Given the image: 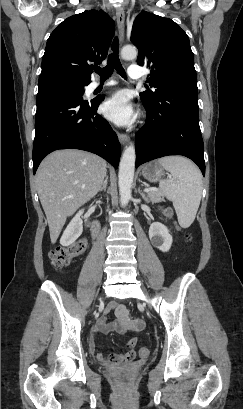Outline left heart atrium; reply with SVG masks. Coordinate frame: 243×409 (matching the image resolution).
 Masks as SVG:
<instances>
[{"label":"left heart atrium","mask_w":243,"mask_h":409,"mask_svg":"<svg viewBox=\"0 0 243 409\" xmlns=\"http://www.w3.org/2000/svg\"><path fill=\"white\" fill-rule=\"evenodd\" d=\"M104 115L117 125H128L135 119V111L125 91H118L103 104Z\"/></svg>","instance_id":"left-heart-atrium-1"}]
</instances>
